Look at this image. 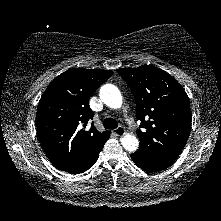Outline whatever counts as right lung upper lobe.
Masks as SVG:
<instances>
[{"label":"right lung upper lobe","instance_id":"1","mask_svg":"<svg viewBox=\"0 0 221 221\" xmlns=\"http://www.w3.org/2000/svg\"><path fill=\"white\" fill-rule=\"evenodd\" d=\"M109 70L70 69L57 76L45 90L36 115L40 143L53 165L69 171L86 159L110 135L92 123L89 99L112 76Z\"/></svg>","mask_w":221,"mask_h":221}]
</instances>
